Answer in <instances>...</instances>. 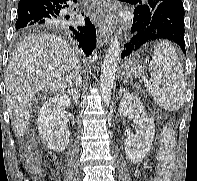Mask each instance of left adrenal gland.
I'll use <instances>...</instances> for the list:
<instances>
[{
    "label": "left adrenal gland",
    "instance_id": "obj_1",
    "mask_svg": "<svg viewBox=\"0 0 197 181\" xmlns=\"http://www.w3.org/2000/svg\"><path fill=\"white\" fill-rule=\"evenodd\" d=\"M123 93H126V90H125V88L120 87V91H119V98H121V97H122V94H123Z\"/></svg>",
    "mask_w": 197,
    "mask_h": 181
}]
</instances>
